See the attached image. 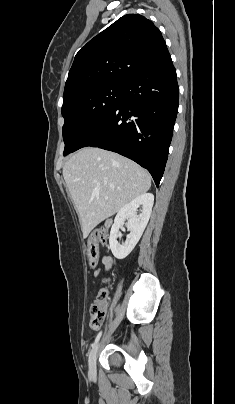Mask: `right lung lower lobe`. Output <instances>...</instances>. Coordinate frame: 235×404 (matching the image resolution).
Here are the masks:
<instances>
[{
  "label": "right lung lower lobe",
  "instance_id": "obj_1",
  "mask_svg": "<svg viewBox=\"0 0 235 404\" xmlns=\"http://www.w3.org/2000/svg\"><path fill=\"white\" fill-rule=\"evenodd\" d=\"M178 100L176 70L169 56L128 79L118 105L88 131L74 151L93 146L119 153L146 168L158 187Z\"/></svg>",
  "mask_w": 235,
  "mask_h": 404
}]
</instances>
